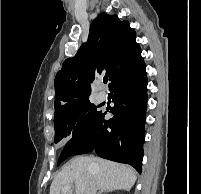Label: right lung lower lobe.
Returning a JSON list of instances; mask_svg holds the SVG:
<instances>
[{"label": "right lung lower lobe", "instance_id": "right-lung-lower-lobe-1", "mask_svg": "<svg viewBox=\"0 0 201 194\" xmlns=\"http://www.w3.org/2000/svg\"><path fill=\"white\" fill-rule=\"evenodd\" d=\"M147 77L143 58L128 73L110 85L113 118L100 113L81 135L71 139L62 153L78 155L94 150L100 157L127 163L141 173L144 124L147 104Z\"/></svg>", "mask_w": 201, "mask_h": 194}]
</instances>
